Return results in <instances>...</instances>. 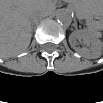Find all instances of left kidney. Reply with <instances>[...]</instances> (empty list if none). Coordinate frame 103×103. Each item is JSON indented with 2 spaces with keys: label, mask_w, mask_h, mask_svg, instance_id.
I'll return each mask as SVG.
<instances>
[{
  "label": "left kidney",
  "mask_w": 103,
  "mask_h": 103,
  "mask_svg": "<svg viewBox=\"0 0 103 103\" xmlns=\"http://www.w3.org/2000/svg\"><path fill=\"white\" fill-rule=\"evenodd\" d=\"M76 39H83L86 44H91V50L76 47ZM69 42L71 47H73L77 52L83 53L88 58H95L100 54L101 47L99 41L96 38H92L79 31L71 33V35L69 36Z\"/></svg>",
  "instance_id": "1"
}]
</instances>
